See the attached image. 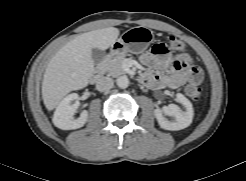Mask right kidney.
I'll return each instance as SVG.
<instances>
[{"instance_id":"obj_1","label":"right kidney","mask_w":246,"mask_h":181,"mask_svg":"<svg viewBox=\"0 0 246 181\" xmlns=\"http://www.w3.org/2000/svg\"><path fill=\"white\" fill-rule=\"evenodd\" d=\"M79 96L77 93H72L66 96L57 106L54 115L53 123L56 127L62 130L78 129L84 126L88 119V112L84 110L80 117L74 119V114L79 106ZM72 101H75L71 104Z\"/></svg>"}]
</instances>
